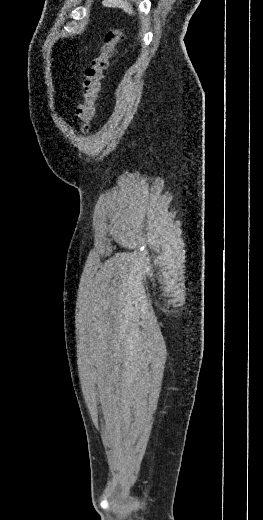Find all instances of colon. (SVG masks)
Wrapping results in <instances>:
<instances>
[{"label":"colon","instance_id":"obj_1","mask_svg":"<svg viewBox=\"0 0 263 520\" xmlns=\"http://www.w3.org/2000/svg\"><path fill=\"white\" fill-rule=\"evenodd\" d=\"M124 34L117 27L110 28L99 47V53L85 70L83 81V102L77 107L76 115L83 130H88L95 116L96 101L101 91L104 72L108 69L110 60L114 58L118 45L123 41Z\"/></svg>","mask_w":263,"mask_h":520}]
</instances>
